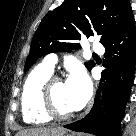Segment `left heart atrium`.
<instances>
[{"instance_id": "1", "label": "left heart atrium", "mask_w": 136, "mask_h": 136, "mask_svg": "<svg viewBox=\"0 0 136 136\" xmlns=\"http://www.w3.org/2000/svg\"><path fill=\"white\" fill-rule=\"evenodd\" d=\"M66 87L74 110L81 109L91 95V82L82 69H74L68 77Z\"/></svg>"}]
</instances>
